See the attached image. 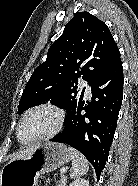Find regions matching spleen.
<instances>
[{
  "label": "spleen",
  "instance_id": "3e777b00",
  "mask_svg": "<svg viewBox=\"0 0 138 186\" xmlns=\"http://www.w3.org/2000/svg\"><path fill=\"white\" fill-rule=\"evenodd\" d=\"M68 151L71 155L72 161L70 177L73 179H77L87 173L89 169L88 161L80 152H78L74 148L69 147Z\"/></svg>",
  "mask_w": 138,
  "mask_h": 186
}]
</instances>
